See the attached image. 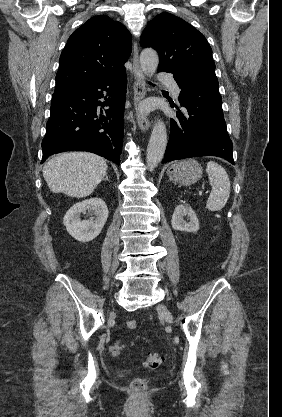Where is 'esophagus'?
Listing matches in <instances>:
<instances>
[{
    "label": "esophagus",
    "instance_id": "1",
    "mask_svg": "<svg viewBox=\"0 0 282 417\" xmlns=\"http://www.w3.org/2000/svg\"><path fill=\"white\" fill-rule=\"evenodd\" d=\"M133 75H134V105L137 115V123L142 132H146L150 128V122L147 116L141 111V103L146 96V82L144 79L141 65L139 62L137 42L133 47Z\"/></svg>",
    "mask_w": 282,
    "mask_h": 417
}]
</instances>
